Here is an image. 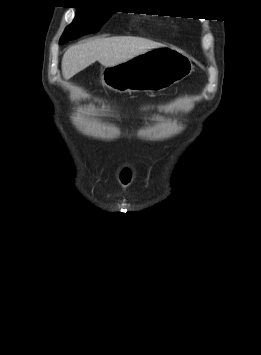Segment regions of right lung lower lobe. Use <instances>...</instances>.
Listing matches in <instances>:
<instances>
[{"instance_id": "obj_1", "label": "right lung lower lobe", "mask_w": 261, "mask_h": 355, "mask_svg": "<svg viewBox=\"0 0 261 355\" xmlns=\"http://www.w3.org/2000/svg\"><path fill=\"white\" fill-rule=\"evenodd\" d=\"M70 40H72V39L60 40V44H63V43H65V42H67V41H70Z\"/></svg>"}]
</instances>
